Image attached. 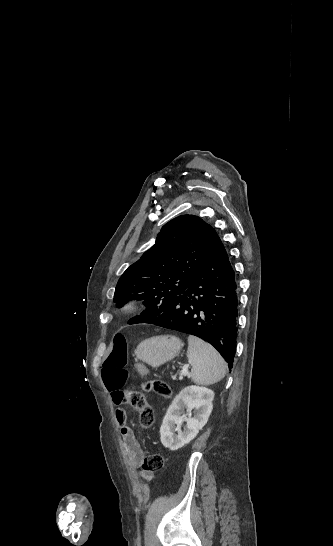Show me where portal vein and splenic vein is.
Returning <instances> with one entry per match:
<instances>
[{
    "instance_id": "obj_1",
    "label": "portal vein and splenic vein",
    "mask_w": 333,
    "mask_h": 546,
    "mask_svg": "<svg viewBox=\"0 0 333 546\" xmlns=\"http://www.w3.org/2000/svg\"><path fill=\"white\" fill-rule=\"evenodd\" d=\"M188 367H189V366L187 365V366H185V367L183 368V370H182V375H186V374H187V372H188Z\"/></svg>"
}]
</instances>
